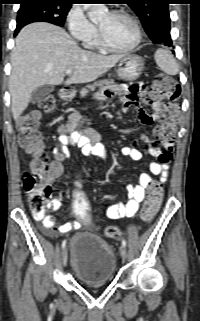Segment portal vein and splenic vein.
Wrapping results in <instances>:
<instances>
[{
  "mask_svg": "<svg viewBox=\"0 0 200 321\" xmlns=\"http://www.w3.org/2000/svg\"><path fill=\"white\" fill-rule=\"evenodd\" d=\"M72 72H73V70H72V69H67V70L65 71V73H66L67 75L72 74Z\"/></svg>",
  "mask_w": 200,
  "mask_h": 321,
  "instance_id": "obj_1",
  "label": "portal vein and splenic vein"
}]
</instances>
